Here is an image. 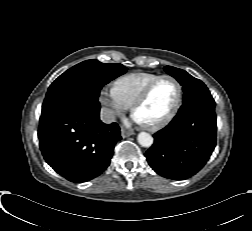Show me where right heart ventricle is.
Listing matches in <instances>:
<instances>
[{
  "label": "right heart ventricle",
  "instance_id": "right-heart-ventricle-1",
  "mask_svg": "<svg viewBox=\"0 0 252 231\" xmlns=\"http://www.w3.org/2000/svg\"><path fill=\"white\" fill-rule=\"evenodd\" d=\"M159 76L154 73H132L124 75L114 82V89L123 101L129 106H132L147 85Z\"/></svg>",
  "mask_w": 252,
  "mask_h": 231
}]
</instances>
